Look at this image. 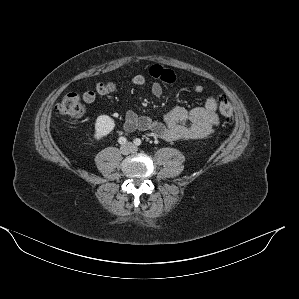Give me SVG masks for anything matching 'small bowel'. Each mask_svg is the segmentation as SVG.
<instances>
[{"label": "small bowel", "instance_id": "obj_1", "mask_svg": "<svg viewBox=\"0 0 299 299\" xmlns=\"http://www.w3.org/2000/svg\"><path fill=\"white\" fill-rule=\"evenodd\" d=\"M149 74L156 80L151 86V92L155 97L162 96L163 84H173L184 78L160 65H153L149 69ZM145 82L146 78L142 74H137L130 80V84L135 86L144 85ZM118 88L119 84L114 82H99L94 90L83 92V99L86 103L93 104L97 96L108 95ZM192 90L196 94H201L204 91V86L201 83H194ZM218 124L217 98L209 96L202 106L192 110H187L184 107L174 108L162 121L139 116L133 110H127L123 128L126 132L150 131L162 140L176 141L204 138Z\"/></svg>", "mask_w": 299, "mask_h": 299}]
</instances>
